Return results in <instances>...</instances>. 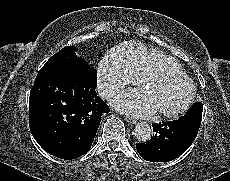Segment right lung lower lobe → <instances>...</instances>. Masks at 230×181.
<instances>
[{"mask_svg":"<svg viewBox=\"0 0 230 181\" xmlns=\"http://www.w3.org/2000/svg\"><path fill=\"white\" fill-rule=\"evenodd\" d=\"M86 72L37 76L30 92L29 126L38 144L61 159L89 151L108 105Z\"/></svg>","mask_w":230,"mask_h":181,"instance_id":"1","label":"right lung lower lobe"}]
</instances>
